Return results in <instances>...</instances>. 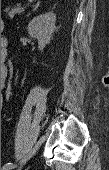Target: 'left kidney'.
Returning <instances> with one entry per match:
<instances>
[{
    "label": "left kidney",
    "instance_id": "5707ae66",
    "mask_svg": "<svg viewBox=\"0 0 109 170\" xmlns=\"http://www.w3.org/2000/svg\"><path fill=\"white\" fill-rule=\"evenodd\" d=\"M56 15L48 12L34 17L28 24L29 35L38 40L39 50H43L50 43L55 28Z\"/></svg>",
    "mask_w": 109,
    "mask_h": 170
}]
</instances>
